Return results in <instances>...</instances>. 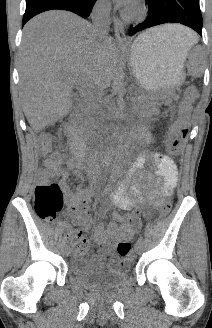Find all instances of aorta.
Returning a JSON list of instances; mask_svg holds the SVG:
<instances>
[{"label":"aorta","mask_w":212,"mask_h":328,"mask_svg":"<svg viewBox=\"0 0 212 328\" xmlns=\"http://www.w3.org/2000/svg\"><path fill=\"white\" fill-rule=\"evenodd\" d=\"M123 80H124V75H123V70L122 67L120 66L118 69L117 76L114 81V90L116 94L118 95L117 98V108H116V116L118 120H122L123 114H122V104H123V98H122V92L124 90V85H123ZM119 139L121 140V136H119ZM122 154L121 152L117 151L114 154V160H113V165L111 169V175L110 178L111 180H121L122 176H124L125 171L122 166Z\"/></svg>","instance_id":"obj_1"}]
</instances>
